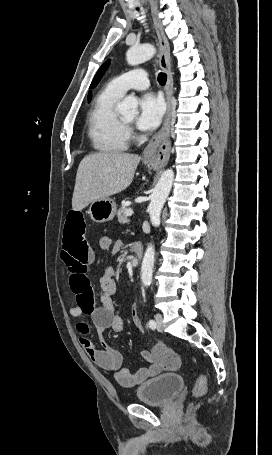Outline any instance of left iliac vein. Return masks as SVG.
<instances>
[{"label": "left iliac vein", "mask_w": 272, "mask_h": 455, "mask_svg": "<svg viewBox=\"0 0 272 455\" xmlns=\"http://www.w3.org/2000/svg\"><path fill=\"white\" fill-rule=\"evenodd\" d=\"M155 320H156V328L159 332L163 331V323H162V315L161 314H156L155 315Z\"/></svg>", "instance_id": "left-iliac-vein-1"}]
</instances>
